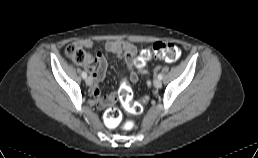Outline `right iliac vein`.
I'll list each match as a JSON object with an SVG mask.
<instances>
[{"instance_id": "obj_1", "label": "right iliac vein", "mask_w": 258, "mask_h": 158, "mask_svg": "<svg viewBox=\"0 0 258 158\" xmlns=\"http://www.w3.org/2000/svg\"><path fill=\"white\" fill-rule=\"evenodd\" d=\"M86 84L89 85V86L92 84V78L91 77L86 78Z\"/></svg>"}]
</instances>
